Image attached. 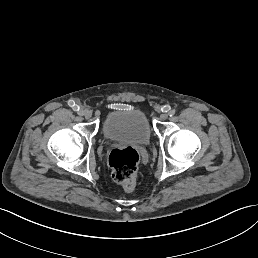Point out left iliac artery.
<instances>
[{
    "mask_svg": "<svg viewBox=\"0 0 258 258\" xmlns=\"http://www.w3.org/2000/svg\"><path fill=\"white\" fill-rule=\"evenodd\" d=\"M175 113H176V111H175V110H171V111L169 112V116H170V117H172V116H174V115H175Z\"/></svg>",
    "mask_w": 258,
    "mask_h": 258,
    "instance_id": "44dca946",
    "label": "left iliac artery"
}]
</instances>
